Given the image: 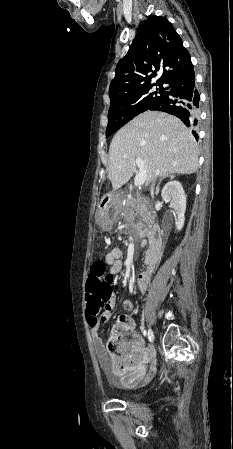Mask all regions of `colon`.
I'll use <instances>...</instances> for the list:
<instances>
[{"instance_id":"1","label":"colon","mask_w":233,"mask_h":449,"mask_svg":"<svg viewBox=\"0 0 233 449\" xmlns=\"http://www.w3.org/2000/svg\"><path fill=\"white\" fill-rule=\"evenodd\" d=\"M86 300L88 310L86 311V318L89 323H96L99 315L106 312L104 304L111 302V296L107 294L111 291L109 280L106 278V266L103 262H94L87 275L86 279ZM133 322L128 317L119 319V323L114 328L110 350L127 349L130 345L135 343L132 332Z\"/></svg>"}]
</instances>
